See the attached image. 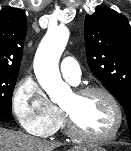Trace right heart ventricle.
<instances>
[{"instance_id":"obj_1","label":"right heart ventricle","mask_w":131,"mask_h":151,"mask_svg":"<svg viewBox=\"0 0 131 151\" xmlns=\"http://www.w3.org/2000/svg\"><path fill=\"white\" fill-rule=\"evenodd\" d=\"M63 127H64V122H63V119H62V117H61V120L59 121V123H58V125L56 126V128H55L54 131H56V130H58V129H60V128H63Z\"/></svg>"}]
</instances>
